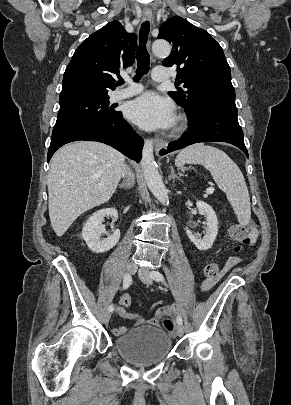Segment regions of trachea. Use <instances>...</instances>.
I'll return each instance as SVG.
<instances>
[{
  "label": "trachea",
  "instance_id": "3493384b",
  "mask_svg": "<svg viewBox=\"0 0 291 405\" xmlns=\"http://www.w3.org/2000/svg\"><path fill=\"white\" fill-rule=\"evenodd\" d=\"M150 30V24L148 21H145L141 25V29L139 32V46L137 49V69L136 75L134 76L133 80L138 81L143 75L147 74L150 69V56L146 49V42L148 38ZM124 83L123 79H119L117 82L118 85H122Z\"/></svg>",
  "mask_w": 291,
  "mask_h": 405
}]
</instances>
